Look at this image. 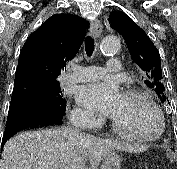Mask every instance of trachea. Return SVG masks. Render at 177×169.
Instances as JSON below:
<instances>
[{
	"mask_svg": "<svg viewBox=\"0 0 177 169\" xmlns=\"http://www.w3.org/2000/svg\"><path fill=\"white\" fill-rule=\"evenodd\" d=\"M95 49L94 40L91 36H87L85 41V51L88 57H91Z\"/></svg>",
	"mask_w": 177,
	"mask_h": 169,
	"instance_id": "obj_1",
	"label": "trachea"
}]
</instances>
